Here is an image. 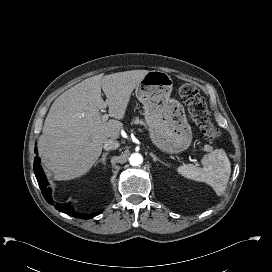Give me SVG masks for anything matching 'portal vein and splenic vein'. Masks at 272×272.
<instances>
[{
  "label": "portal vein and splenic vein",
  "mask_w": 272,
  "mask_h": 272,
  "mask_svg": "<svg viewBox=\"0 0 272 272\" xmlns=\"http://www.w3.org/2000/svg\"><path fill=\"white\" fill-rule=\"evenodd\" d=\"M108 117H109V115L108 114H104L103 116H102V120L103 121H107L108 120ZM196 160H194V162H195Z\"/></svg>",
  "instance_id": "18ae733b"
}]
</instances>
